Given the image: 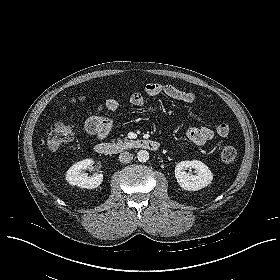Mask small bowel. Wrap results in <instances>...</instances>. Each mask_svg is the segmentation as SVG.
Instances as JSON below:
<instances>
[{
	"label": "small bowel",
	"instance_id": "small-bowel-1",
	"mask_svg": "<svg viewBox=\"0 0 280 280\" xmlns=\"http://www.w3.org/2000/svg\"><path fill=\"white\" fill-rule=\"evenodd\" d=\"M144 94L148 96H157L164 94L167 97L184 102L192 103L197 99V94L191 91H184L170 84H162L158 82H148L144 88ZM144 94L142 92H134L130 96V103L135 107L144 105ZM119 109V102L115 99H106L101 106L88 114L85 126L89 130L91 125L97 128L99 137H105L109 133L113 125L112 117H104L101 115L103 110L110 114H115ZM231 129L228 123H220L215 129L202 125L199 127H191L187 131V140L191 145L199 146L211 140L215 135L219 137H227L230 135Z\"/></svg>",
	"mask_w": 280,
	"mask_h": 280
}]
</instances>
